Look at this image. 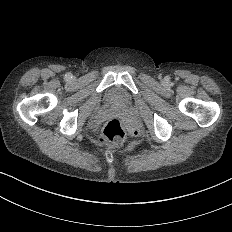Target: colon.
I'll return each instance as SVG.
<instances>
[{
  "mask_svg": "<svg viewBox=\"0 0 232 232\" xmlns=\"http://www.w3.org/2000/svg\"><path fill=\"white\" fill-rule=\"evenodd\" d=\"M127 140L126 124L122 120H113L101 130V142L104 149H112L113 144L122 145Z\"/></svg>",
  "mask_w": 232,
  "mask_h": 232,
  "instance_id": "1",
  "label": "colon"
}]
</instances>
